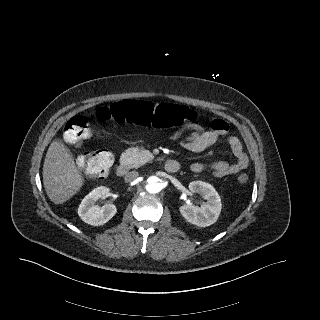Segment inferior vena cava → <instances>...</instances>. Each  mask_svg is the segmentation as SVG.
I'll list each match as a JSON object with an SVG mask.
<instances>
[{"label": "inferior vena cava", "instance_id": "inferior-vena-cava-1", "mask_svg": "<svg viewBox=\"0 0 320 320\" xmlns=\"http://www.w3.org/2000/svg\"><path fill=\"white\" fill-rule=\"evenodd\" d=\"M138 177L137 171H131L125 176V182H132Z\"/></svg>", "mask_w": 320, "mask_h": 320}]
</instances>
